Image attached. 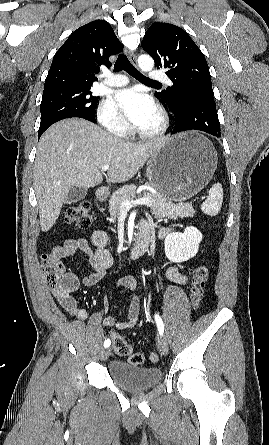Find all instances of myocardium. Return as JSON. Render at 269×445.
Listing matches in <instances>:
<instances>
[{
  "label": "myocardium",
  "instance_id": "obj_1",
  "mask_svg": "<svg viewBox=\"0 0 269 445\" xmlns=\"http://www.w3.org/2000/svg\"><path fill=\"white\" fill-rule=\"evenodd\" d=\"M157 113L160 119L159 126L153 131H143L136 129V133L143 139H155L163 136L169 128V118L167 113L162 108H157Z\"/></svg>",
  "mask_w": 269,
  "mask_h": 445
}]
</instances>
